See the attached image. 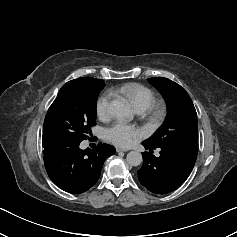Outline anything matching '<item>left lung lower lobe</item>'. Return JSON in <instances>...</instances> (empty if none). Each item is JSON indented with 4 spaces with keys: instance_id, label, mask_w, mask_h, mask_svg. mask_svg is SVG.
I'll use <instances>...</instances> for the list:
<instances>
[{
    "instance_id": "obj_1",
    "label": "left lung lower lobe",
    "mask_w": 237,
    "mask_h": 237,
    "mask_svg": "<svg viewBox=\"0 0 237 237\" xmlns=\"http://www.w3.org/2000/svg\"><path fill=\"white\" fill-rule=\"evenodd\" d=\"M142 144L149 152L142 153L143 165L138 171L140 183L156 194H166L180 187L193 169L198 148L163 147L160 156L155 157L152 153L156 148Z\"/></svg>"
}]
</instances>
